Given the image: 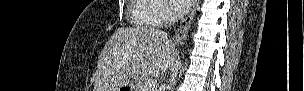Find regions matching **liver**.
Wrapping results in <instances>:
<instances>
[{"mask_svg": "<svg viewBox=\"0 0 304 91\" xmlns=\"http://www.w3.org/2000/svg\"><path fill=\"white\" fill-rule=\"evenodd\" d=\"M175 59L164 31L152 27L119 28L100 53L94 91H118L130 78L162 74Z\"/></svg>", "mask_w": 304, "mask_h": 91, "instance_id": "6515ba94", "label": "liver"}]
</instances>
